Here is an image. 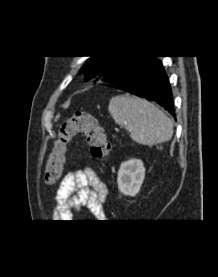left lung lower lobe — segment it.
Instances as JSON below:
<instances>
[{
  "mask_svg": "<svg viewBox=\"0 0 218 277\" xmlns=\"http://www.w3.org/2000/svg\"><path fill=\"white\" fill-rule=\"evenodd\" d=\"M104 81L117 89L155 101L175 116L169 80L162 62L155 56H136Z\"/></svg>",
  "mask_w": 218,
  "mask_h": 277,
  "instance_id": "obj_1",
  "label": "left lung lower lobe"
}]
</instances>
